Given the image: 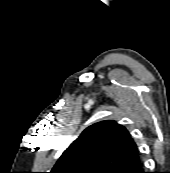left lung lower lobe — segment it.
Instances as JSON below:
<instances>
[{
    "label": "left lung lower lobe",
    "instance_id": "1",
    "mask_svg": "<svg viewBox=\"0 0 170 173\" xmlns=\"http://www.w3.org/2000/svg\"><path fill=\"white\" fill-rule=\"evenodd\" d=\"M117 173H145L143 169L142 162L140 158L128 163L121 169L117 171Z\"/></svg>",
    "mask_w": 170,
    "mask_h": 173
}]
</instances>
